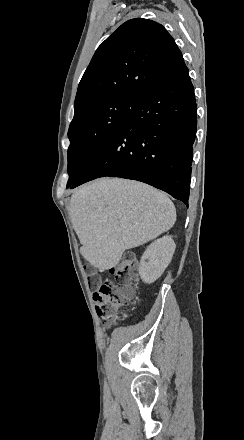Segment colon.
Listing matches in <instances>:
<instances>
[{"instance_id": "5ec220e1", "label": "colon", "mask_w": 244, "mask_h": 440, "mask_svg": "<svg viewBox=\"0 0 244 440\" xmlns=\"http://www.w3.org/2000/svg\"><path fill=\"white\" fill-rule=\"evenodd\" d=\"M123 254L126 258L112 269L117 278V285L107 279L101 281L100 275H92L94 269L92 262L85 264V269L90 271L86 278L87 284H91V289L96 290L93 299L97 303V310L101 311L108 320L122 316L134 295L131 284L137 278L138 264L135 259L129 257L132 254L129 248H126Z\"/></svg>"}]
</instances>
